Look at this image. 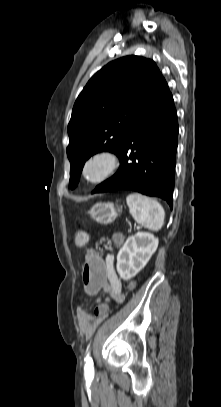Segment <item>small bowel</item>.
<instances>
[{
  "label": "small bowel",
  "instance_id": "1",
  "mask_svg": "<svg viewBox=\"0 0 221 407\" xmlns=\"http://www.w3.org/2000/svg\"><path fill=\"white\" fill-rule=\"evenodd\" d=\"M105 261L108 268V285L104 286V293H106L109 298L102 302L101 298L95 299L96 305L107 304L110 307V303L112 300L117 302H122L124 299V294L122 291V282L119 278L116 270H115V260L112 254H107L105 256ZM84 271V269H83ZM99 292H85L88 296H95ZM96 310L94 314L89 313L83 307H79L77 309V319H78V326L80 332L83 334L84 337H90L97 326L101 323L104 318H98L96 314ZM108 315V314H107Z\"/></svg>",
  "mask_w": 221,
  "mask_h": 407
}]
</instances>
